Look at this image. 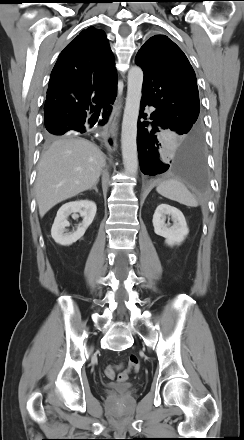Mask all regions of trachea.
I'll return each instance as SVG.
<instances>
[{"mask_svg": "<svg viewBox=\"0 0 244 440\" xmlns=\"http://www.w3.org/2000/svg\"><path fill=\"white\" fill-rule=\"evenodd\" d=\"M96 107H92L91 111H94ZM104 113H106V108L104 109Z\"/></svg>", "mask_w": 244, "mask_h": 440, "instance_id": "trachea-1", "label": "trachea"}]
</instances>
